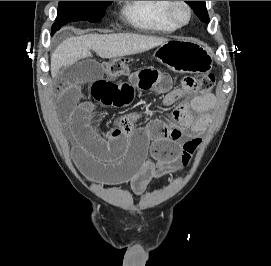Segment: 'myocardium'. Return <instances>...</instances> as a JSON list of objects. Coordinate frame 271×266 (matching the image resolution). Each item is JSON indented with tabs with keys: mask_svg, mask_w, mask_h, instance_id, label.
Wrapping results in <instances>:
<instances>
[{
	"mask_svg": "<svg viewBox=\"0 0 271 266\" xmlns=\"http://www.w3.org/2000/svg\"><path fill=\"white\" fill-rule=\"evenodd\" d=\"M178 6H183L187 12V18L185 20H181L176 13V9ZM168 15L170 19L177 25V26H185L189 24L193 17V9L188 1H169L167 7Z\"/></svg>",
	"mask_w": 271,
	"mask_h": 266,
	"instance_id": "f54148a6",
	"label": "myocardium"
}]
</instances>
